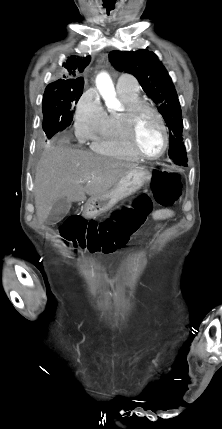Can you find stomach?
<instances>
[{
  "mask_svg": "<svg viewBox=\"0 0 222 429\" xmlns=\"http://www.w3.org/2000/svg\"><path fill=\"white\" fill-rule=\"evenodd\" d=\"M151 179V173L146 167H137L126 173L108 192L91 197L85 205L87 217H97L110 210L122 199L140 190Z\"/></svg>",
  "mask_w": 222,
  "mask_h": 429,
  "instance_id": "obj_1",
  "label": "stomach"
}]
</instances>
